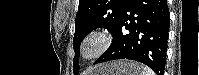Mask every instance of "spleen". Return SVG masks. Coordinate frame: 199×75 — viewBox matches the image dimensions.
Instances as JSON below:
<instances>
[{
	"instance_id": "spleen-1",
	"label": "spleen",
	"mask_w": 199,
	"mask_h": 75,
	"mask_svg": "<svg viewBox=\"0 0 199 75\" xmlns=\"http://www.w3.org/2000/svg\"><path fill=\"white\" fill-rule=\"evenodd\" d=\"M141 75H155L154 72L148 67H141Z\"/></svg>"
}]
</instances>
